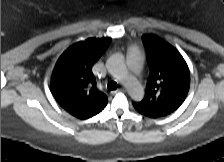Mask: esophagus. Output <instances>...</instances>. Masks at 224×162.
<instances>
[{
    "label": "esophagus",
    "instance_id": "esophagus-1",
    "mask_svg": "<svg viewBox=\"0 0 224 162\" xmlns=\"http://www.w3.org/2000/svg\"><path fill=\"white\" fill-rule=\"evenodd\" d=\"M121 91H123V92H124V91H125V89L121 88V89H118V90L112 91V92H111V94H113V95H114V94H116V93H118V92H121Z\"/></svg>",
    "mask_w": 224,
    "mask_h": 162
}]
</instances>
